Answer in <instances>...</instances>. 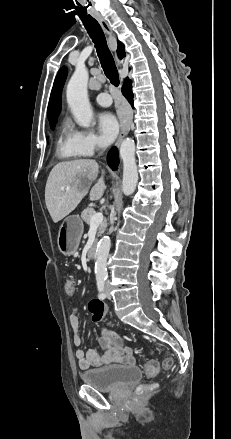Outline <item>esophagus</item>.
Instances as JSON below:
<instances>
[{
    "label": "esophagus",
    "mask_w": 231,
    "mask_h": 439,
    "mask_svg": "<svg viewBox=\"0 0 231 439\" xmlns=\"http://www.w3.org/2000/svg\"><path fill=\"white\" fill-rule=\"evenodd\" d=\"M95 18L98 20V22L102 26L104 32L108 36H112V30L109 27V25L106 22V20L102 16H100V15H95ZM115 59H116L117 65L120 67L121 66V61L119 60V58L117 57L116 54H115ZM129 130H130V122L129 121L123 122V124L121 125V131H120L119 137H118V139L116 141V146L117 147L120 145V143L123 140V138L128 134Z\"/></svg>",
    "instance_id": "obj_1"
}]
</instances>
